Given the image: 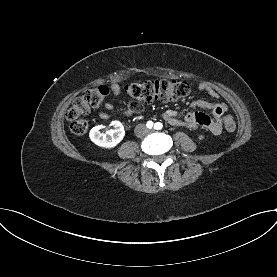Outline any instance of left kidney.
Segmentation results:
<instances>
[{
    "mask_svg": "<svg viewBox=\"0 0 277 277\" xmlns=\"http://www.w3.org/2000/svg\"><path fill=\"white\" fill-rule=\"evenodd\" d=\"M198 138H199V140H202L204 137H203V135H199Z\"/></svg>",
    "mask_w": 277,
    "mask_h": 277,
    "instance_id": "left-kidney-1",
    "label": "left kidney"
}]
</instances>
